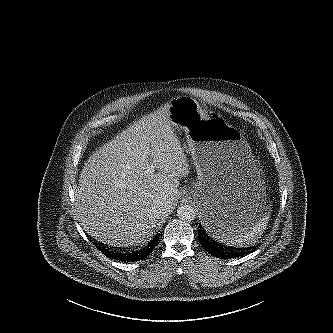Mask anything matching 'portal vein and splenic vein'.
<instances>
[{
	"instance_id": "1",
	"label": "portal vein and splenic vein",
	"mask_w": 333,
	"mask_h": 333,
	"mask_svg": "<svg viewBox=\"0 0 333 333\" xmlns=\"http://www.w3.org/2000/svg\"><path fill=\"white\" fill-rule=\"evenodd\" d=\"M150 171H151V172H154V169H153V168H151V169H150Z\"/></svg>"
}]
</instances>
